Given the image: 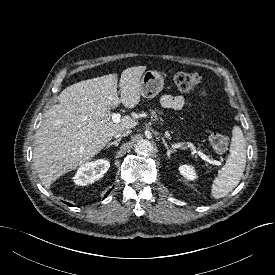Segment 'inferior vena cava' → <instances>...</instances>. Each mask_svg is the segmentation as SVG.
<instances>
[{"instance_id": "602c4592", "label": "inferior vena cava", "mask_w": 275, "mask_h": 275, "mask_svg": "<svg viewBox=\"0 0 275 275\" xmlns=\"http://www.w3.org/2000/svg\"><path fill=\"white\" fill-rule=\"evenodd\" d=\"M131 133V130L129 129H125V130H121L120 132L115 134V138H121V137H125L128 136Z\"/></svg>"}]
</instances>
